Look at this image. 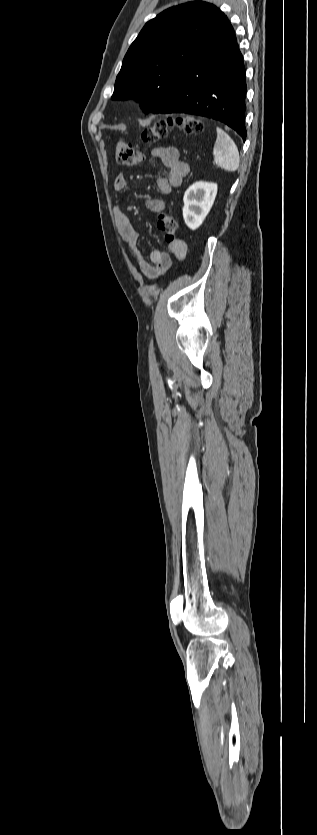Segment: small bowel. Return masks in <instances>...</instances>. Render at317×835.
Returning a JSON list of instances; mask_svg holds the SVG:
<instances>
[{
	"label": "small bowel",
	"mask_w": 317,
	"mask_h": 835,
	"mask_svg": "<svg viewBox=\"0 0 317 835\" xmlns=\"http://www.w3.org/2000/svg\"><path fill=\"white\" fill-rule=\"evenodd\" d=\"M152 155L159 159L166 169V174L156 179V188L161 194L168 195L171 193L173 187H178L182 184L183 179L189 173L190 167L186 162L180 160L178 150L172 146L155 148L152 150ZM127 185L126 176L123 173H119L114 180V189L121 192L127 188ZM145 204L147 209L154 213L162 212L165 208L164 201L161 198H150L146 200ZM114 220L120 236L131 247L137 257L142 275L145 278L155 279L167 271L172 265L171 255L175 256L178 260L185 258L187 252L186 244L182 240H177L169 244V252L154 250L150 253L149 259H146L138 246V231L128 215L119 206L114 208Z\"/></svg>",
	"instance_id": "1"
}]
</instances>
